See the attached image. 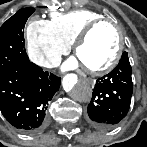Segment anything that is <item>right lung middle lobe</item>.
Segmentation results:
<instances>
[{"label":"right lung middle lobe","instance_id":"1","mask_svg":"<svg viewBox=\"0 0 147 147\" xmlns=\"http://www.w3.org/2000/svg\"><path fill=\"white\" fill-rule=\"evenodd\" d=\"M35 9L28 7L19 10L9 18L0 28V74L7 72L12 67L28 62L24 47L22 30L28 17Z\"/></svg>","mask_w":147,"mask_h":147}]
</instances>
